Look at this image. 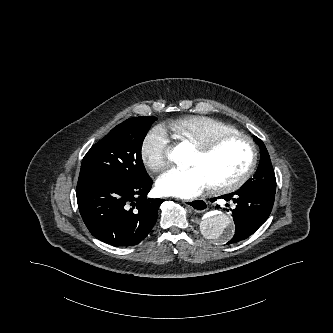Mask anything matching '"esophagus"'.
I'll return each instance as SVG.
<instances>
[{"label":"esophagus","mask_w":333,"mask_h":333,"mask_svg":"<svg viewBox=\"0 0 333 333\" xmlns=\"http://www.w3.org/2000/svg\"><path fill=\"white\" fill-rule=\"evenodd\" d=\"M183 203L197 213L204 212L207 209V203L202 199L183 200Z\"/></svg>","instance_id":"1"}]
</instances>
